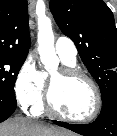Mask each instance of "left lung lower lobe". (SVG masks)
Wrapping results in <instances>:
<instances>
[{
    "label": "left lung lower lobe",
    "mask_w": 117,
    "mask_h": 136,
    "mask_svg": "<svg viewBox=\"0 0 117 136\" xmlns=\"http://www.w3.org/2000/svg\"><path fill=\"white\" fill-rule=\"evenodd\" d=\"M56 124L85 136H117V93L103 102L100 115L94 122L86 125Z\"/></svg>",
    "instance_id": "obj_1"
}]
</instances>
